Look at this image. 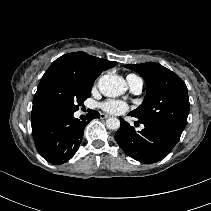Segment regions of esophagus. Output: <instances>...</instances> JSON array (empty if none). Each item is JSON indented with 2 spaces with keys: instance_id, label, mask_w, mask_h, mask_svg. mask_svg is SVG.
Here are the masks:
<instances>
[{
  "instance_id": "esophagus-1",
  "label": "esophagus",
  "mask_w": 211,
  "mask_h": 211,
  "mask_svg": "<svg viewBox=\"0 0 211 211\" xmlns=\"http://www.w3.org/2000/svg\"><path fill=\"white\" fill-rule=\"evenodd\" d=\"M100 117H101L102 119H106V118H109L110 115L105 114V113H101V114H100Z\"/></svg>"
}]
</instances>
